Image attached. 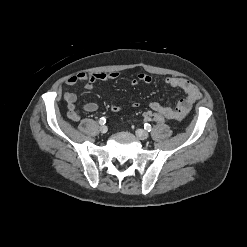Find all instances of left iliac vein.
<instances>
[{
  "label": "left iliac vein",
  "instance_id": "1",
  "mask_svg": "<svg viewBox=\"0 0 247 247\" xmlns=\"http://www.w3.org/2000/svg\"><path fill=\"white\" fill-rule=\"evenodd\" d=\"M136 135L141 140H146L149 137V134L143 129H137Z\"/></svg>",
  "mask_w": 247,
  "mask_h": 247
}]
</instances>
